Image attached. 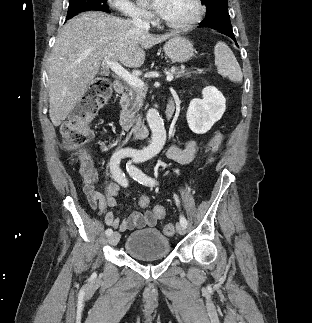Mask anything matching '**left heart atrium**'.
Segmentation results:
<instances>
[{
    "instance_id": "left-heart-atrium-1",
    "label": "left heart atrium",
    "mask_w": 312,
    "mask_h": 323,
    "mask_svg": "<svg viewBox=\"0 0 312 323\" xmlns=\"http://www.w3.org/2000/svg\"><path fill=\"white\" fill-rule=\"evenodd\" d=\"M163 0H146L147 8H160L161 12H168L169 6L168 5H161Z\"/></svg>"
}]
</instances>
